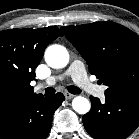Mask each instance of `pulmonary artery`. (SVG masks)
<instances>
[{
  "label": "pulmonary artery",
  "instance_id": "obj_1",
  "mask_svg": "<svg viewBox=\"0 0 139 139\" xmlns=\"http://www.w3.org/2000/svg\"><path fill=\"white\" fill-rule=\"evenodd\" d=\"M66 76H70L76 85L84 92L98 98H103L105 96V87L96 85L89 80L84 65L79 60L73 61L64 74L49 77L41 86H51L57 81L63 80Z\"/></svg>",
  "mask_w": 139,
  "mask_h": 139
}]
</instances>
